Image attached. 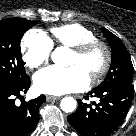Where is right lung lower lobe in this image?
Segmentation results:
<instances>
[{"mask_svg":"<svg viewBox=\"0 0 136 136\" xmlns=\"http://www.w3.org/2000/svg\"><path fill=\"white\" fill-rule=\"evenodd\" d=\"M31 84L28 77L19 85L10 89H0V136H29L38 122V108L45 101L41 95L20 106L15 105L16 98L26 93Z\"/></svg>","mask_w":136,"mask_h":136,"instance_id":"right-lung-lower-lobe-1","label":"right lung lower lobe"}]
</instances>
